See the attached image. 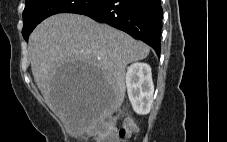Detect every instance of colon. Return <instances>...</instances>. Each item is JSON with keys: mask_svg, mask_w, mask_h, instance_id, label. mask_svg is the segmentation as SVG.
Returning a JSON list of instances; mask_svg holds the SVG:
<instances>
[{"mask_svg": "<svg viewBox=\"0 0 227 142\" xmlns=\"http://www.w3.org/2000/svg\"><path fill=\"white\" fill-rule=\"evenodd\" d=\"M136 123L132 118L123 120L119 127L107 126L100 133L97 142H122L136 132Z\"/></svg>", "mask_w": 227, "mask_h": 142, "instance_id": "colon-1", "label": "colon"}]
</instances>
